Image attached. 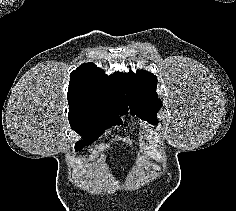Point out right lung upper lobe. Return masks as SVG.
Returning <instances> with one entry per match:
<instances>
[{
  "label": "right lung upper lobe",
  "instance_id": "right-lung-upper-lobe-1",
  "mask_svg": "<svg viewBox=\"0 0 236 211\" xmlns=\"http://www.w3.org/2000/svg\"><path fill=\"white\" fill-rule=\"evenodd\" d=\"M67 99L70 112H128L124 75L108 76L93 63H84L70 74Z\"/></svg>",
  "mask_w": 236,
  "mask_h": 211
}]
</instances>
